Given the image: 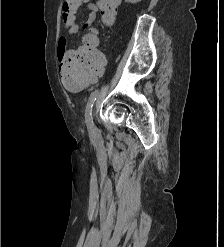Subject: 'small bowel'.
<instances>
[{"label": "small bowel", "instance_id": "small-bowel-1", "mask_svg": "<svg viewBox=\"0 0 224 247\" xmlns=\"http://www.w3.org/2000/svg\"><path fill=\"white\" fill-rule=\"evenodd\" d=\"M81 4L85 3L88 6L90 11L87 20L84 23L85 28H90L93 25L97 15L99 14L98 6L94 3H91L90 0H81ZM64 29L69 35H75L79 31V26L77 25L76 21H72L70 23L63 24ZM67 40L65 36H61L57 46V57L59 63H63L67 60V57L70 55V51L67 49Z\"/></svg>", "mask_w": 224, "mask_h": 247}]
</instances>
